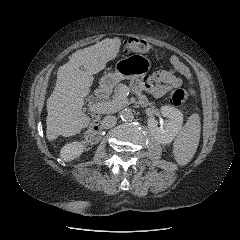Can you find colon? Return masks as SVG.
Instances as JSON below:
<instances>
[{
  "instance_id": "colon-1",
  "label": "colon",
  "mask_w": 240,
  "mask_h": 240,
  "mask_svg": "<svg viewBox=\"0 0 240 240\" xmlns=\"http://www.w3.org/2000/svg\"><path fill=\"white\" fill-rule=\"evenodd\" d=\"M123 49L125 52H139L149 53L154 51V47L144 39L129 38L123 42ZM189 98V94L184 89H176L172 92L169 101L174 106L184 104ZM100 124L95 121L91 127L83 135V144L86 148L93 145L98 139L100 134Z\"/></svg>"
}]
</instances>
